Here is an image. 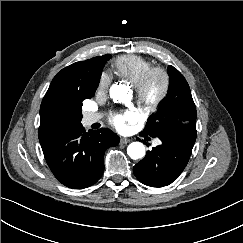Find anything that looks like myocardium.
<instances>
[{"label": "myocardium", "mask_w": 243, "mask_h": 243, "mask_svg": "<svg viewBox=\"0 0 243 243\" xmlns=\"http://www.w3.org/2000/svg\"><path fill=\"white\" fill-rule=\"evenodd\" d=\"M156 76L161 78V87L156 94H152L151 84ZM170 85V74L165 68L151 67L134 86L135 99L139 108L144 113L154 111L168 96Z\"/></svg>", "instance_id": "f54148a6"}]
</instances>
